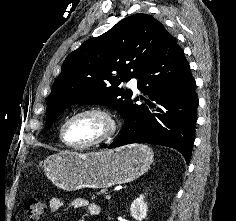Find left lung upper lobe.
Listing matches in <instances>:
<instances>
[{
	"instance_id": "obj_1",
	"label": "left lung upper lobe",
	"mask_w": 236,
	"mask_h": 221,
	"mask_svg": "<svg viewBox=\"0 0 236 221\" xmlns=\"http://www.w3.org/2000/svg\"><path fill=\"white\" fill-rule=\"evenodd\" d=\"M166 33L154 17L134 14L101 36L85 41L66 57L53 84L46 127L74 104L112 106L123 116L132 92L118 86L139 77Z\"/></svg>"
}]
</instances>
